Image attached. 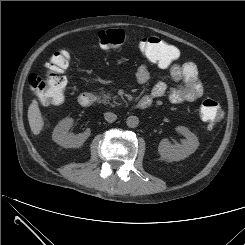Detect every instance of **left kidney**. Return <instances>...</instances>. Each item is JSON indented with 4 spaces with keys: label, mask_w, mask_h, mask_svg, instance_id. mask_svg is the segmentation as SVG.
Here are the masks:
<instances>
[{
    "label": "left kidney",
    "mask_w": 245,
    "mask_h": 245,
    "mask_svg": "<svg viewBox=\"0 0 245 245\" xmlns=\"http://www.w3.org/2000/svg\"><path fill=\"white\" fill-rule=\"evenodd\" d=\"M175 130L186 138L182 140L181 144H172L168 139H163L158 146L161 158L169 162L185 159L199 146L198 138L188 128L178 126Z\"/></svg>",
    "instance_id": "1"
}]
</instances>
